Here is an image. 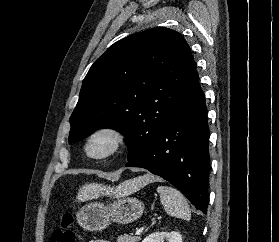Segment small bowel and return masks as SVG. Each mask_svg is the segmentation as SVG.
<instances>
[{
  "label": "small bowel",
  "mask_w": 279,
  "mask_h": 242,
  "mask_svg": "<svg viewBox=\"0 0 279 242\" xmlns=\"http://www.w3.org/2000/svg\"><path fill=\"white\" fill-rule=\"evenodd\" d=\"M89 242H110V241H107V240H91Z\"/></svg>",
  "instance_id": "small-bowel-1"
}]
</instances>
